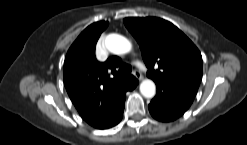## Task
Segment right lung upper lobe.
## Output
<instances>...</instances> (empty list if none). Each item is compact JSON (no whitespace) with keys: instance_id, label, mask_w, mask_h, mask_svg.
<instances>
[{"instance_id":"right-lung-upper-lobe-1","label":"right lung upper lobe","mask_w":247,"mask_h":145,"mask_svg":"<svg viewBox=\"0 0 247 145\" xmlns=\"http://www.w3.org/2000/svg\"><path fill=\"white\" fill-rule=\"evenodd\" d=\"M107 26L105 21L88 26L69 48L64 62L67 93L81 117L92 126L117 113L123 90L134 79L132 75H117L118 57L97 61L96 43Z\"/></svg>"}]
</instances>
